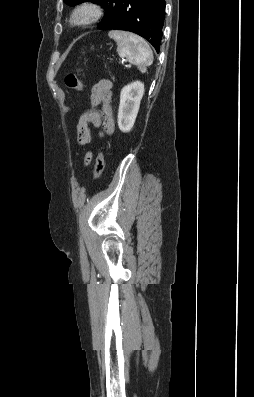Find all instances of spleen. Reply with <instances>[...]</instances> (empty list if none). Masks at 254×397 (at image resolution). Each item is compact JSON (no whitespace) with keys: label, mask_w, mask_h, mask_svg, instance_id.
Instances as JSON below:
<instances>
[{"label":"spleen","mask_w":254,"mask_h":397,"mask_svg":"<svg viewBox=\"0 0 254 397\" xmlns=\"http://www.w3.org/2000/svg\"><path fill=\"white\" fill-rule=\"evenodd\" d=\"M108 36L117 43V53L120 57L136 65L142 73L153 63V52L149 44L139 35L131 32L112 30Z\"/></svg>","instance_id":"1"}]
</instances>
